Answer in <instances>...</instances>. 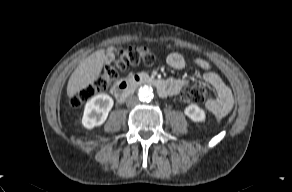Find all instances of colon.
<instances>
[{
  "mask_svg": "<svg viewBox=\"0 0 292 192\" xmlns=\"http://www.w3.org/2000/svg\"><path fill=\"white\" fill-rule=\"evenodd\" d=\"M155 61V55L144 47H129L120 52L118 59L103 69L99 77L91 84L87 85L70 98L73 107H80L98 93L108 89L114 82L120 71L125 70L130 65L144 63L151 65ZM181 98L186 103H203L215 100L213 89L204 86L188 87L182 92Z\"/></svg>",
  "mask_w": 292,
  "mask_h": 192,
  "instance_id": "obj_1",
  "label": "colon"
}]
</instances>
